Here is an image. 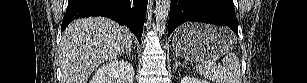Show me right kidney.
<instances>
[{
    "label": "right kidney",
    "instance_id": "ca27d5eb",
    "mask_svg": "<svg viewBox=\"0 0 307 83\" xmlns=\"http://www.w3.org/2000/svg\"><path fill=\"white\" fill-rule=\"evenodd\" d=\"M133 66L124 60H111L101 66L90 83H133Z\"/></svg>",
    "mask_w": 307,
    "mask_h": 83
}]
</instances>
